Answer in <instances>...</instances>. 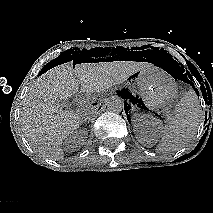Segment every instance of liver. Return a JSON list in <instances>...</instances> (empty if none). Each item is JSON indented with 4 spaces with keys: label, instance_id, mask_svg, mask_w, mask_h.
I'll list each match as a JSON object with an SVG mask.
<instances>
[{
    "label": "liver",
    "instance_id": "6515ba94",
    "mask_svg": "<svg viewBox=\"0 0 213 213\" xmlns=\"http://www.w3.org/2000/svg\"><path fill=\"white\" fill-rule=\"evenodd\" d=\"M150 63L112 61L60 64L39 76L23 99L20 115L22 131L31 147L41 156L62 160L63 140L81 124L83 108L63 111L62 100L79 91L100 92L113 83L125 81L136 71L154 69Z\"/></svg>",
    "mask_w": 213,
    "mask_h": 213
}]
</instances>
